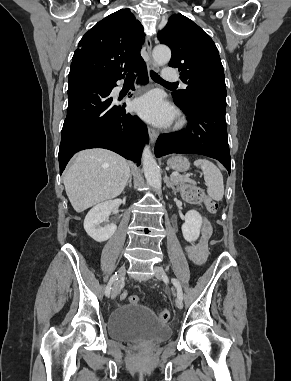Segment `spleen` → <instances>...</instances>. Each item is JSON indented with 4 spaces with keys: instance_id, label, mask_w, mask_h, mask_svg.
<instances>
[{
    "instance_id": "3e777b00",
    "label": "spleen",
    "mask_w": 291,
    "mask_h": 381,
    "mask_svg": "<svg viewBox=\"0 0 291 381\" xmlns=\"http://www.w3.org/2000/svg\"><path fill=\"white\" fill-rule=\"evenodd\" d=\"M194 165L200 167L203 171L208 195L216 201H221L224 196V184L221 171L214 163L207 159H197L194 161Z\"/></svg>"
}]
</instances>
